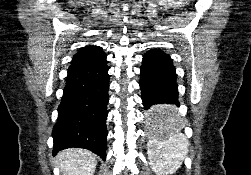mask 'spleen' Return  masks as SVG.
Wrapping results in <instances>:
<instances>
[{
	"label": "spleen",
	"instance_id": "3e777b00",
	"mask_svg": "<svg viewBox=\"0 0 251 175\" xmlns=\"http://www.w3.org/2000/svg\"><path fill=\"white\" fill-rule=\"evenodd\" d=\"M147 131L154 141L148 145V159L156 175L174 173L188 153V139L179 133L181 125L176 111L156 107L149 115Z\"/></svg>",
	"mask_w": 251,
	"mask_h": 175
}]
</instances>
